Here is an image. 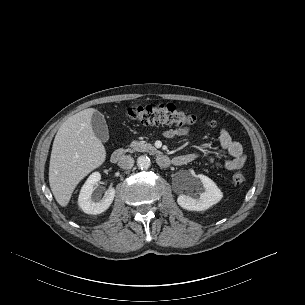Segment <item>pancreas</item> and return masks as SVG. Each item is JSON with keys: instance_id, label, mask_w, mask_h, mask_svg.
Masks as SVG:
<instances>
[{"instance_id": "obj_1", "label": "pancreas", "mask_w": 305, "mask_h": 305, "mask_svg": "<svg viewBox=\"0 0 305 305\" xmlns=\"http://www.w3.org/2000/svg\"><path fill=\"white\" fill-rule=\"evenodd\" d=\"M135 151L150 152L153 154L156 152V149L150 143L134 140L130 143V148L125 149V152H135Z\"/></svg>"}]
</instances>
